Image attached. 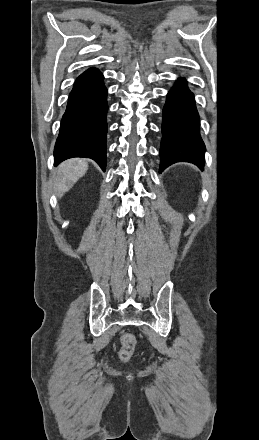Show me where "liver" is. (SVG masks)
<instances>
[{
    "label": "liver",
    "instance_id": "6515ba94",
    "mask_svg": "<svg viewBox=\"0 0 259 440\" xmlns=\"http://www.w3.org/2000/svg\"><path fill=\"white\" fill-rule=\"evenodd\" d=\"M88 169L86 159L73 158L61 163L55 172L54 188L57 196L61 198L74 184L85 175Z\"/></svg>",
    "mask_w": 259,
    "mask_h": 440
}]
</instances>
